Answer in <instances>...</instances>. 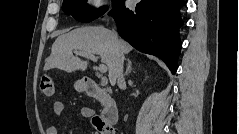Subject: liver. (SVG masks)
<instances>
[{
    "label": "liver",
    "instance_id": "obj_1",
    "mask_svg": "<svg viewBox=\"0 0 239 134\" xmlns=\"http://www.w3.org/2000/svg\"><path fill=\"white\" fill-rule=\"evenodd\" d=\"M116 49L128 54L132 47L124 40L115 39L113 32L102 26H86L60 35L52 45L51 54L47 58L44 70L58 68L65 72L84 71L88 62L73 55V50L97 54L109 70L111 85H115L113 71Z\"/></svg>",
    "mask_w": 239,
    "mask_h": 134
}]
</instances>
